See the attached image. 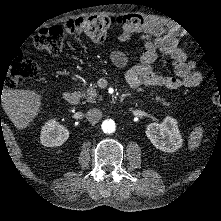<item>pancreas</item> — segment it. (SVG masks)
Returning <instances> with one entry per match:
<instances>
[{
    "mask_svg": "<svg viewBox=\"0 0 221 221\" xmlns=\"http://www.w3.org/2000/svg\"><path fill=\"white\" fill-rule=\"evenodd\" d=\"M79 91L83 93L87 102L97 103L98 101L102 100V98H99V96L96 94L95 84H92L87 89H79Z\"/></svg>",
    "mask_w": 221,
    "mask_h": 221,
    "instance_id": "1",
    "label": "pancreas"
}]
</instances>
